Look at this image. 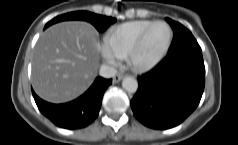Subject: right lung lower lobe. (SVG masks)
Returning a JSON list of instances; mask_svg holds the SVG:
<instances>
[{"label":"right lung lower lobe","mask_w":238,"mask_h":145,"mask_svg":"<svg viewBox=\"0 0 238 145\" xmlns=\"http://www.w3.org/2000/svg\"><path fill=\"white\" fill-rule=\"evenodd\" d=\"M112 79L97 77L92 86L79 98L65 104H52L40 99L32 91L40 112L56 126L79 129L91 124L99 114L102 97Z\"/></svg>","instance_id":"98d812e1"}]
</instances>
